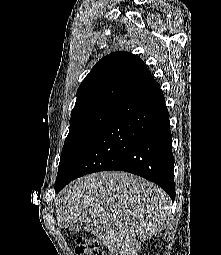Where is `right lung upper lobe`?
<instances>
[{"label":"right lung upper lobe","instance_id":"obj_1","mask_svg":"<svg viewBox=\"0 0 221 255\" xmlns=\"http://www.w3.org/2000/svg\"><path fill=\"white\" fill-rule=\"evenodd\" d=\"M156 81L144 62L129 52H114L92 68L77 91L71 115L105 105L120 106Z\"/></svg>","mask_w":221,"mask_h":255}]
</instances>
